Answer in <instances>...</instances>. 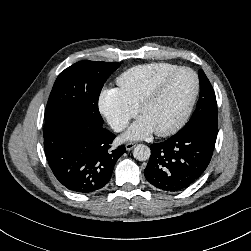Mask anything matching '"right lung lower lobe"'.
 <instances>
[{
  "label": "right lung lower lobe",
  "instance_id": "obj_1",
  "mask_svg": "<svg viewBox=\"0 0 251 251\" xmlns=\"http://www.w3.org/2000/svg\"><path fill=\"white\" fill-rule=\"evenodd\" d=\"M44 150L58 181L73 192L88 194L110 180L124 146L111 147L115 135L84 116H58L45 121Z\"/></svg>",
  "mask_w": 251,
  "mask_h": 251
}]
</instances>
